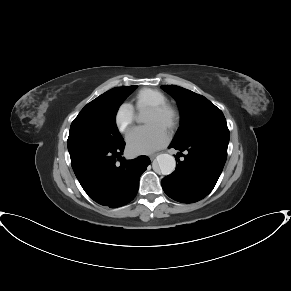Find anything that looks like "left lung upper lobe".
<instances>
[{"instance_id":"1","label":"left lung upper lobe","mask_w":291,"mask_h":291,"mask_svg":"<svg viewBox=\"0 0 291 291\" xmlns=\"http://www.w3.org/2000/svg\"><path fill=\"white\" fill-rule=\"evenodd\" d=\"M161 88L177 101L181 114L180 127L172 143L184 145L204 138L229 136L222 111L207 98L175 85Z\"/></svg>"}]
</instances>
